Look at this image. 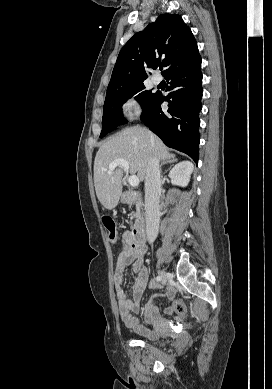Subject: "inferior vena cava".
Returning <instances> with one entry per match:
<instances>
[{"label": "inferior vena cava", "instance_id": "602c4592", "mask_svg": "<svg viewBox=\"0 0 272 389\" xmlns=\"http://www.w3.org/2000/svg\"><path fill=\"white\" fill-rule=\"evenodd\" d=\"M161 176L159 158L150 157L145 175V210L146 234L149 243H153L158 235L160 220Z\"/></svg>", "mask_w": 272, "mask_h": 389}]
</instances>
